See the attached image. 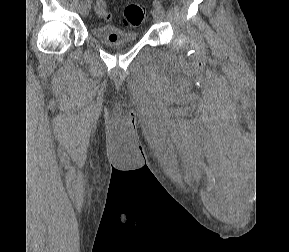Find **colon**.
<instances>
[{
    "instance_id": "colon-1",
    "label": "colon",
    "mask_w": 289,
    "mask_h": 252,
    "mask_svg": "<svg viewBox=\"0 0 289 252\" xmlns=\"http://www.w3.org/2000/svg\"><path fill=\"white\" fill-rule=\"evenodd\" d=\"M95 11L104 19H108L110 17L104 0H97L95 4ZM145 14L146 10L143 5L137 3L129 4L123 10L122 23L126 27L139 26L144 21Z\"/></svg>"
}]
</instances>
